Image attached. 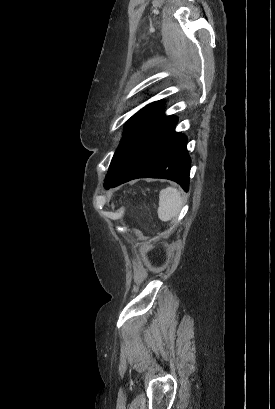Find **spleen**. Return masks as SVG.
<instances>
[{"instance_id":"obj_1","label":"spleen","mask_w":275,"mask_h":409,"mask_svg":"<svg viewBox=\"0 0 275 409\" xmlns=\"http://www.w3.org/2000/svg\"><path fill=\"white\" fill-rule=\"evenodd\" d=\"M182 196L178 188L167 186L160 190L158 217L161 221H171L177 217L180 209H182Z\"/></svg>"}]
</instances>
